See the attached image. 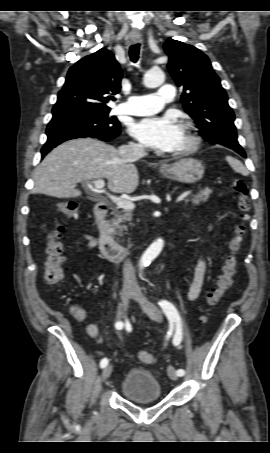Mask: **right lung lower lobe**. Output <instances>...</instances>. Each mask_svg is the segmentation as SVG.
<instances>
[{
	"instance_id": "obj_1",
	"label": "right lung lower lobe",
	"mask_w": 270,
	"mask_h": 453,
	"mask_svg": "<svg viewBox=\"0 0 270 453\" xmlns=\"http://www.w3.org/2000/svg\"><path fill=\"white\" fill-rule=\"evenodd\" d=\"M120 129L114 132H101L90 129H78L74 127H52L47 128V142L43 146L41 153L42 158L54 147L60 143L79 137L98 138L102 141H109L120 134Z\"/></svg>"
}]
</instances>
